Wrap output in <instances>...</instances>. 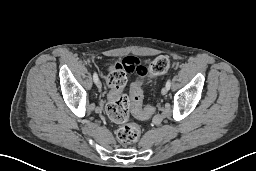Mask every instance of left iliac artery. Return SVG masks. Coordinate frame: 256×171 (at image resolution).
Wrapping results in <instances>:
<instances>
[{
	"label": "left iliac artery",
	"mask_w": 256,
	"mask_h": 171,
	"mask_svg": "<svg viewBox=\"0 0 256 171\" xmlns=\"http://www.w3.org/2000/svg\"><path fill=\"white\" fill-rule=\"evenodd\" d=\"M170 86H171V80L168 79L166 82V87L168 88V90L170 89Z\"/></svg>",
	"instance_id": "left-iliac-artery-1"
}]
</instances>
